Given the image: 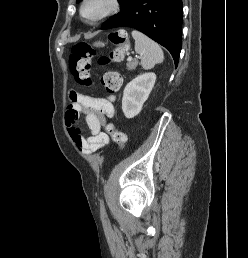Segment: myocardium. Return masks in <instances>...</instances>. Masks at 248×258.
Listing matches in <instances>:
<instances>
[{
  "instance_id": "1",
  "label": "myocardium",
  "mask_w": 248,
  "mask_h": 258,
  "mask_svg": "<svg viewBox=\"0 0 248 258\" xmlns=\"http://www.w3.org/2000/svg\"><path fill=\"white\" fill-rule=\"evenodd\" d=\"M90 1L91 0H82L80 8H79V13L85 22L92 24V25L100 23L103 20L113 16L120 9V0H108L107 7L100 14H98L95 17H88L86 15L85 11H86V7Z\"/></svg>"
}]
</instances>
